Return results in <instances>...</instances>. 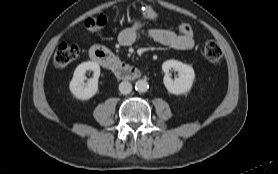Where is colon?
Masks as SVG:
<instances>
[{
	"instance_id": "1",
	"label": "colon",
	"mask_w": 278,
	"mask_h": 174,
	"mask_svg": "<svg viewBox=\"0 0 278 174\" xmlns=\"http://www.w3.org/2000/svg\"><path fill=\"white\" fill-rule=\"evenodd\" d=\"M143 13L148 19L157 18V13L150 7L143 8ZM107 23V18L103 15L88 18L85 26L89 31L95 32L102 29ZM178 34L183 36H193L192 28L189 24L183 23L178 27ZM223 52L220 45L214 41H209L204 47V56L211 63H218ZM79 56V48L73 44L61 43L55 50L53 62L57 67H65Z\"/></svg>"
}]
</instances>
